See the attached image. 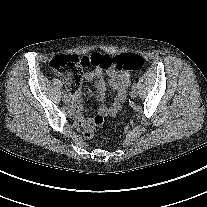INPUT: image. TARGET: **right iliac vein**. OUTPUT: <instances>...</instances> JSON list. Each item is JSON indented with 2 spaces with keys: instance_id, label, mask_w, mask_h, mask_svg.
Returning <instances> with one entry per match:
<instances>
[{
  "instance_id": "right-iliac-vein-1",
  "label": "right iliac vein",
  "mask_w": 207,
  "mask_h": 207,
  "mask_svg": "<svg viewBox=\"0 0 207 207\" xmlns=\"http://www.w3.org/2000/svg\"><path fill=\"white\" fill-rule=\"evenodd\" d=\"M63 101L66 103V104H69V98L66 96V97H63Z\"/></svg>"
}]
</instances>
